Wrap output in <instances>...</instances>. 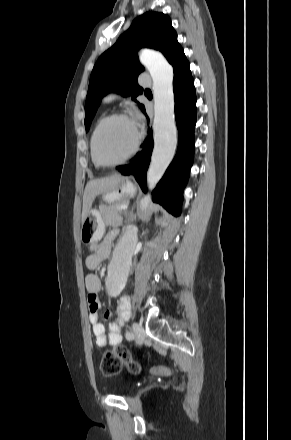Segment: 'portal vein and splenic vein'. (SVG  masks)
Masks as SVG:
<instances>
[{"instance_id": "1", "label": "portal vein and splenic vein", "mask_w": 291, "mask_h": 440, "mask_svg": "<svg viewBox=\"0 0 291 440\" xmlns=\"http://www.w3.org/2000/svg\"><path fill=\"white\" fill-rule=\"evenodd\" d=\"M120 208H121L122 210H126V209H127V206H125V205H121Z\"/></svg>"}]
</instances>
